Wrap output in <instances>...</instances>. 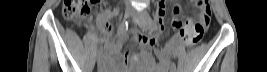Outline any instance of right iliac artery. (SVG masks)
I'll return each instance as SVG.
<instances>
[{"label":"right iliac artery","mask_w":267,"mask_h":72,"mask_svg":"<svg viewBox=\"0 0 267 72\" xmlns=\"http://www.w3.org/2000/svg\"><path fill=\"white\" fill-rule=\"evenodd\" d=\"M128 28V22L124 21L120 24L118 31H117V35L116 36H121ZM103 50V43H100L98 48H97V54H101Z\"/></svg>","instance_id":"obj_1"}]
</instances>
